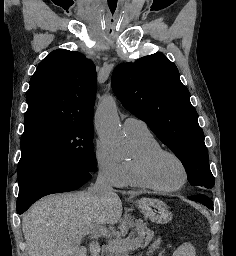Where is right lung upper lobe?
<instances>
[{
  "label": "right lung upper lobe",
  "instance_id": "1",
  "mask_svg": "<svg viewBox=\"0 0 236 256\" xmlns=\"http://www.w3.org/2000/svg\"><path fill=\"white\" fill-rule=\"evenodd\" d=\"M95 93V65L79 52L55 50L31 77L24 122L57 119L93 123Z\"/></svg>",
  "mask_w": 236,
  "mask_h": 256
}]
</instances>
